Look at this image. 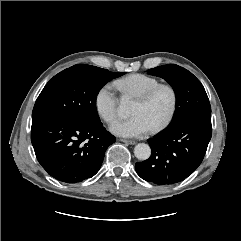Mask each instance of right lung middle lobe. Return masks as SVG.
Returning <instances> with one entry per match:
<instances>
[{
	"label": "right lung middle lobe",
	"mask_w": 241,
	"mask_h": 241,
	"mask_svg": "<svg viewBox=\"0 0 241 241\" xmlns=\"http://www.w3.org/2000/svg\"><path fill=\"white\" fill-rule=\"evenodd\" d=\"M123 74L86 64L63 70L40 93L33 108L32 121L67 118L99 124L96 96L107 82Z\"/></svg>",
	"instance_id": "obj_1"
}]
</instances>
